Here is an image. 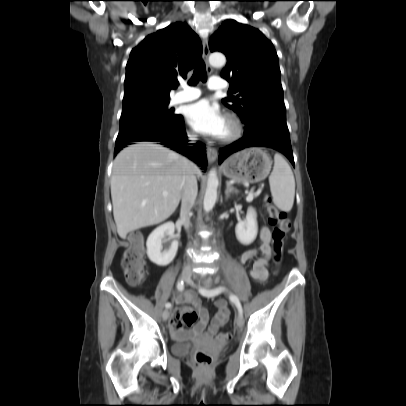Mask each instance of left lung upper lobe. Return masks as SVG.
I'll return each mask as SVG.
<instances>
[{
    "label": "left lung upper lobe",
    "instance_id": "obj_1",
    "mask_svg": "<svg viewBox=\"0 0 406 406\" xmlns=\"http://www.w3.org/2000/svg\"><path fill=\"white\" fill-rule=\"evenodd\" d=\"M210 51L223 52L227 65L221 76L230 81L222 100L244 124L271 118L286 122V109L280 80L278 56L263 33L235 20H226L209 40Z\"/></svg>",
    "mask_w": 406,
    "mask_h": 406
}]
</instances>
